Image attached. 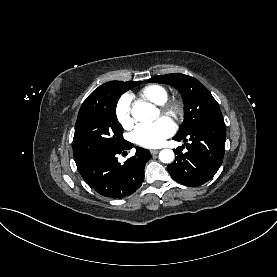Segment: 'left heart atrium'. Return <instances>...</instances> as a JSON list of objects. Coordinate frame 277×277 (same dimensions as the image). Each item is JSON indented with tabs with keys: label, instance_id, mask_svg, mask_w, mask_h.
<instances>
[{
	"label": "left heart atrium",
	"instance_id": "obj_1",
	"mask_svg": "<svg viewBox=\"0 0 277 277\" xmlns=\"http://www.w3.org/2000/svg\"><path fill=\"white\" fill-rule=\"evenodd\" d=\"M174 132V124L167 118H160L153 123L138 126L132 137L142 147L155 148L161 146Z\"/></svg>",
	"mask_w": 277,
	"mask_h": 277
}]
</instances>
